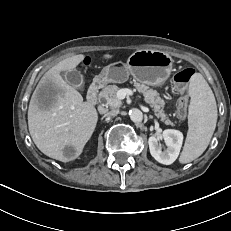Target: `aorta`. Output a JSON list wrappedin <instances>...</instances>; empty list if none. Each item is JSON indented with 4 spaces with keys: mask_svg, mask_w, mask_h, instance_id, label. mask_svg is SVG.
<instances>
[{
    "mask_svg": "<svg viewBox=\"0 0 231 231\" xmlns=\"http://www.w3.org/2000/svg\"><path fill=\"white\" fill-rule=\"evenodd\" d=\"M130 119L135 122L139 123L143 120V113L136 108H133L129 111Z\"/></svg>",
    "mask_w": 231,
    "mask_h": 231,
    "instance_id": "obj_1",
    "label": "aorta"
}]
</instances>
